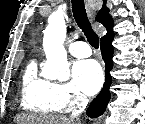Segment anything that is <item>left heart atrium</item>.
<instances>
[{"mask_svg": "<svg viewBox=\"0 0 145 124\" xmlns=\"http://www.w3.org/2000/svg\"><path fill=\"white\" fill-rule=\"evenodd\" d=\"M73 75L77 86L86 95L95 94L103 83L101 67L92 59L75 63Z\"/></svg>", "mask_w": 145, "mask_h": 124, "instance_id": "left-heart-atrium-1", "label": "left heart atrium"}]
</instances>
